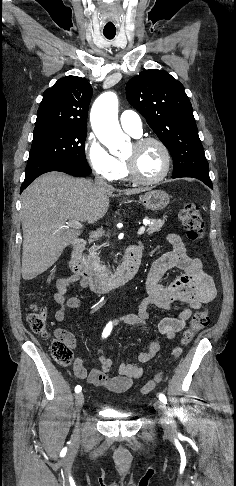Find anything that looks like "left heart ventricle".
<instances>
[{"label":"left heart ventricle","mask_w":236,"mask_h":486,"mask_svg":"<svg viewBox=\"0 0 236 486\" xmlns=\"http://www.w3.org/2000/svg\"><path fill=\"white\" fill-rule=\"evenodd\" d=\"M124 157L133 162L138 175L145 179L155 178L164 168L163 153L153 143L139 148L132 144Z\"/></svg>","instance_id":"obj_1"}]
</instances>
